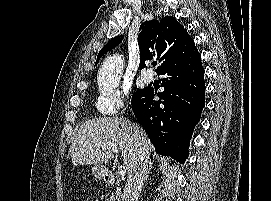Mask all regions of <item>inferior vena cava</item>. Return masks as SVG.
<instances>
[{"label":"inferior vena cava","mask_w":271,"mask_h":201,"mask_svg":"<svg viewBox=\"0 0 271 201\" xmlns=\"http://www.w3.org/2000/svg\"><path fill=\"white\" fill-rule=\"evenodd\" d=\"M132 127L134 140L138 147V153L133 162L132 170L128 174L127 183L125 185L121 201H138L148 167V137L145 131L138 124L133 123Z\"/></svg>","instance_id":"1"}]
</instances>
